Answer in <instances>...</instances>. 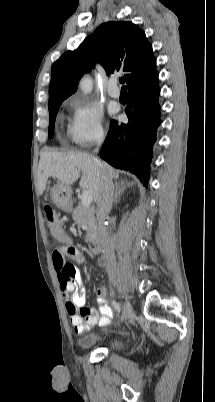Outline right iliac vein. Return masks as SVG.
<instances>
[{"instance_id":"right-iliac-vein-1","label":"right iliac vein","mask_w":215,"mask_h":402,"mask_svg":"<svg viewBox=\"0 0 215 402\" xmlns=\"http://www.w3.org/2000/svg\"><path fill=\"white\" fill-rule=\"evenodd\" d=\"M132 314V305L127 297H125V303L123 306L121 321L128 319Z\"/></svg>"}]
</instances>
